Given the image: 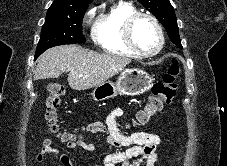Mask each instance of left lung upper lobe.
<instances>
[{
    "label": "left lung upper lobe",
    "instance_id": "left-lung-upper-lobe-1",
    "mask_svg": "<svg viewBox=\"0 0 227 166\" xmlns=\"http://www.w3.org/2000/svg\"><path fill=\"white\" fill-rule=\"evenodd\" d=\"M164 26L172 43L182 48L174 8L169 0H138Z\"/></svg>",
    "mask_w": 227,
    "mask_h": 166
}]
</instances>
